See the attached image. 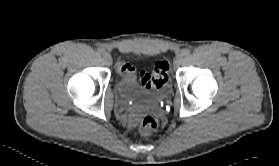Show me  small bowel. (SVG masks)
I'll list each match as a JSON object with an SVG mask.
<instances>
[{"instance_id":"obj_1","label":"small bowel","mask_w":279,"mask_h":166,"mask_svg":"<svg viewBox=\"0 0 279 166\" xmlns=\"http://www.w3.org/2000/svg\"><path fill=\"white\" fill-rule=\"evenodd\" d=\"M134 67L128 63H120L118 65V72L121 76H130L134 73Z\"/></svg>"}]
</instances>
